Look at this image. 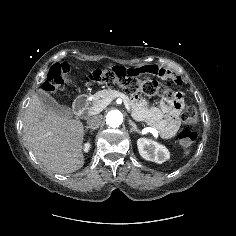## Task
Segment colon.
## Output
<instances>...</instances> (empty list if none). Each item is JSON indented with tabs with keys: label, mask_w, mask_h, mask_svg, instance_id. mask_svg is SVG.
Here are the masks:
<instances>
[{
	"label": "colon",
	"mask_w": 236,
	"mask_h": 236,
	"mask_svg": "<svg viewBox=\"0 0 236 236\" xmlns=\"http://www.w3.org/2000/svg\"><path fill=\"white\" fill-rule=\"evenodd\" d=\"M119 66L109 68H98L91 72L88 78L89 84L114 85L118 84L130 95H144L146 97H162L169 102L181 100L177 91L171 83L162 82L156 78L151 79H130L118 74ZM70 67L66 63L54 64L48 72L43 90L54 94L64 89L70 83ZM182 120L185 124L194 125L199 122L198 110L195 106H188L182 113ZM198 136L196 132L185 129L179 134V144L184 153H189L196 143Z\"/></svg>",
	"instance_id": "colon-1"
}]
</instances>
